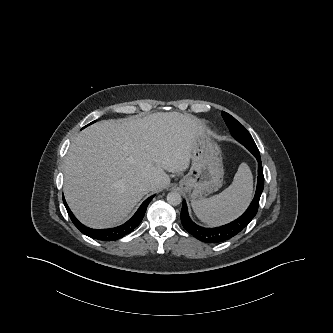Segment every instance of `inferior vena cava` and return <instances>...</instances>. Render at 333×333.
<instances>
[{"label": "inferior vena cava", "instance_id": "inferior-vena-cava-1", "mask_svg": "<svg viewBox=\"0 0 333 333\" xmlns=\"http://www.w3.org/2000/svg\"><path fill=\"white\" fill-rule=\"evenodd\" d=\"M154 183H155V182L151 180V181L148 183V185H149V186H152V185H154Z\"/></svg>", "mask_w": 333, "mask_h": 333}]
</instances>
